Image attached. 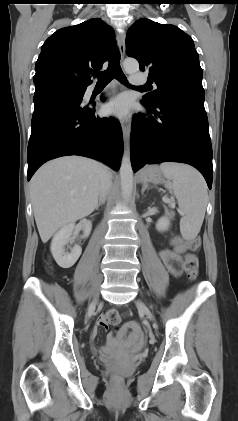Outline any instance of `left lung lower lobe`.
<instances>
[{
    "label": "left lung lower lobe",
    "instance_id": "1",
    "mask_svg": "<svg viewBox=\"0 0 238 421\" xmlns=\"http://www.w3.org/2000/svg\"><path fill=\"white\" fill-rule=\"evenodd\" d=\"M204 95L201 85L182 87L162 95L155 106L145 105L158 119L134 116L130 143L134 172L145 164L187 163L202 173L211 189L212 146Z\"/></svg>",
    "mask_w": 238,
    "mask_h": 421
}]
</instances>
